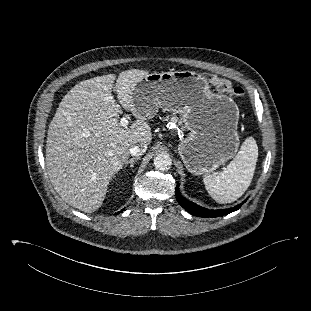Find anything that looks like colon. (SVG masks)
Returning <instances> with one entry per match:
<instances>
[{"mask_svg":"<svg viewBox=\"0 0 311 311\" xmlns=\"http://www.w3.org/2000/svg\"><path fill=\"white\" fill-rule=\"evenodd\" d=\"M207 80L212 84L217 90L221 92H226L232 97H242L244 95V90L240 87H234L228 79L218 77L216 75H209Z\"/></svg>","mask_w":311,"mask_h":311,"instance_id":"5ec220e1","label":"colon"}]
</instances>
